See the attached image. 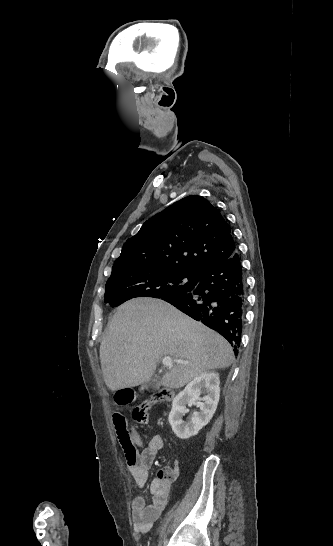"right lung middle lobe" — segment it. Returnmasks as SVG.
<instances>
[{
	"mask_svg": "<svg viewBox=\"0 0 333 546\" xmlns=\"http://www.w3.org/2000/svg\"><path fill=\"white\" fill-rule=\"evenodd\" d=\"M197 275L121 267L112 270L105 286V302L119 306L136 297L162 298L186 294L197 284Z\"/></svg>",
	"mask_w": 333,
	"mask_h": 546,
	"instance_id": "1",
	"label": "right lung middle lobe"
}]
</instances>
